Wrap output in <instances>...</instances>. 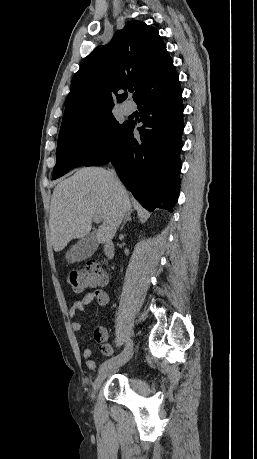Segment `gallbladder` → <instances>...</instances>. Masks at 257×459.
<instances>
[{"mask_svg": "<svg viewBox=\"0 0 257 459\" xmlns=\"http://www.w3.org/2000/svg\"><path fill=\"white\" fill-rule=\"evenodd\" d=\"M97 247L95 233H89L67 251L65 258L69 263L83 261L91 257Z\"/></svg>", "mask_w": 257, "mask_h": 459, "instance_id": "obj_1", "label": "gallbladder"}]
</instances>
